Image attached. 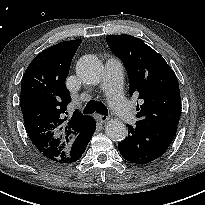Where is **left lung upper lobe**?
<instances>
[{"label": "left lung upper lobe", "instance_id": "left-lung-upper-lobe-1", "mask_svg": "<svg viewBox=\"0 0 205 205\" xmlns=\"http://www.w3.org/2000/svg\"><path fill=\"white\" fill-rule=\"evenodd\" d=\"M106 41L129 75L130 96L142 99L136 117L142 123L178 125L181 114L179 84L165 59L139 38L109 35Z\"/></svg>", "mask_w": 205, "mask_h": 205}]
</instances>
